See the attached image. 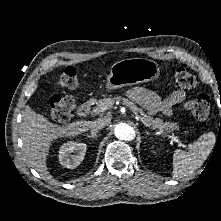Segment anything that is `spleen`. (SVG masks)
Here are the masks:
<instances>
[{
    "mask_svg": "<svg viewBox=\"0 0 221 221\" xmlns=\"http://www.w3.org/2000/svg\"><path fill=\"white\" fill-rule=\"evenodd\" d=\"M215 135L205 133L194 142L189 151L176 149L173 153V179H181L192 174L200 168L207 159L215 145Z\"/></svg>",
    "mask_w": 221,
    "mask_h": 221,
    "instance_id": "3e777b00",
    "label": "spleen"
}]
</instances>
